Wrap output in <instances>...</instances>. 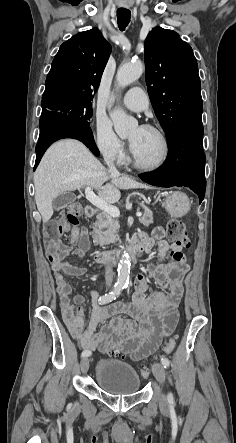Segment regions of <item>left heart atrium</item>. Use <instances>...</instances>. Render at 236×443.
Listing matches in <instances>:
<instances>
[{
  "instance_id": "1",
  "label": "left heart atrium",
  "mask_w": 236,
  "mask_h": 443,
  "mask_svg": "<svg viewBox=\"0 0 236 443\" xmlns=\"http://www.w3.org/2000/svg\"><path fill=\"white\" fill-rule=\"evenodd\" d=\"M130 146H131V149L134 150V148L136 146V141L135 140H131Z\"/></svg>"
}]
</instances>
